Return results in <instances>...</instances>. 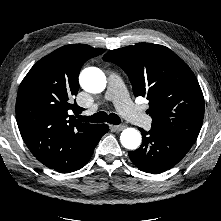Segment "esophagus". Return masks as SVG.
Instances as JSON below:
<instances>
[{
    "instance_id": "34e87169",
    "label": "esophagus",
    "mask_w": 221,
    "mask_h": 221,
    "mask_svg": "<svg viewBox=\"0 0 221 221\" xmlns=\"http://www.w3.org/2000/svg\"><path fill=\"white\" fill-rule=\"evenodd\" d=\"M113 128H114V130H116V131H121V130H123V129L126 128V125H125V124L115 125V126H113Z\"/></svg>"
}]
</instances>
